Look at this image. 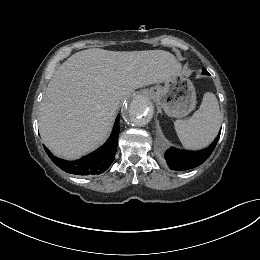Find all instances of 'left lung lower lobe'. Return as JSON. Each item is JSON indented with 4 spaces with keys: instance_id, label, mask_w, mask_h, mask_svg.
I'll return each mask as SVG.
<instances>
[{
    "instance_id": "0a47b994",
    "label": "left lung lower lobe",
    "mask_w": 260,
    "mask_h": 260,
    "mask_svg": "<svg viewBox=\"0 0 260 260\" xmlns=\"http://www.w3.org/2000/svg\"><path fill=\"white\" fill-rule=\"evenodd\" d=\"M219 137L220 133L208 148L200 151H186L171 147L165 153V160L170 169L175 171H185L195 168L209 158L219 140Z\"/></svg>"
}]
</instances>
